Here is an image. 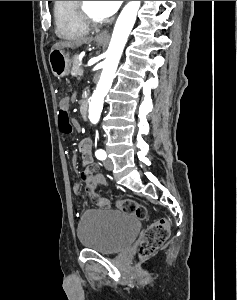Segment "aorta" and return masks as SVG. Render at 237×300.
Listing matches in <instances>:
<instances>
[{"label":"aorta","instance_id":"1","mask_svg":"<svg viewBox=\"0 0 237 300\" xmlns=\"http://www.w3.org/2000/svg\"><path fill=\"white\" fill-rule=\"evenodd\" d=\"M140 5L141 1H130L128 5H125L116 21L100 81L91 97V103H89L88 119L93 125H96L100 119L104 99L113 83L123 49L134 27Z\"/></svg>","mask_w":237,"mask_h":300}]
</instances>
